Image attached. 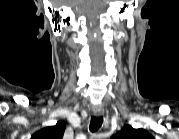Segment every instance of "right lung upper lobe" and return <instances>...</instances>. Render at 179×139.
Masks as SVG:
<instances>
[{"label": "right lung upper lobe", "instance_id": "cb5924a9", "mask_svg": "<svg viewBox=\"0 0 179 139\" xmlns=\"http://www.w3.org/2000/svg\"><path fill=\"white\" fill-rule=\"evenodd\" d=\"M65 130L63 121L57 122L55 126L43 128L32 136V139H62Z\"/></svg>", "mask_w": 179, "mask_h": 139}]
</instances>
